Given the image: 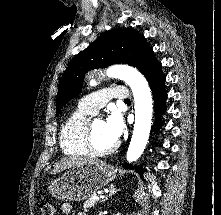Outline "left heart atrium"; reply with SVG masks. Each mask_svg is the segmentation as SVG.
<instances>
[{
	"instance_id": "obj_1",
	"label": "left heart atrium",
	"mask_w": 221,
	"mask_h": 215,
	"mask_svg": "<svg viewBox=\"0 0 221 215\" xmlns=\"http://www.w3.org/2000/svg\"><path fill=\"white\" fill-rule=\"evenodd\" d=\"M104 124L107 135L116 142L122 135L124 128L121 117L114 113L107 118Z\"/></svg>"
}]
</instances>
